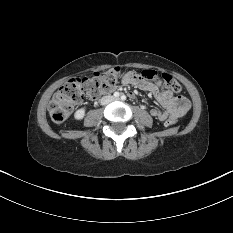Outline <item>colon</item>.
Segmentation results:
<instances>
[{"label":"colon","mask_w":233,"mask_h":233,"mask_svg":"<svg viewBox=\"0 0 233 233\" xmlns=\"http://www.w3.org/2000/svg\"><path fill=\"white\" fill-rule=\"evenodd\" d=\"M123 75L119 67L111 68L104 72H97L92 77H75L62 85L55 93L49 104V114L54 122H63L71 114L73 108L84 97L96 98L102 92L110 91ZM139 77L147 82L158 81L162 83L172 94L181 91L180 84L169 74L159 75L154 70H143ZM175 119L167 120L169 125H174Z\"/></svg>","instance_id":"1"}]
</instances>
